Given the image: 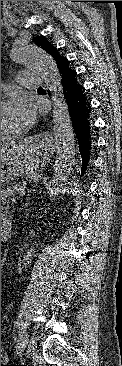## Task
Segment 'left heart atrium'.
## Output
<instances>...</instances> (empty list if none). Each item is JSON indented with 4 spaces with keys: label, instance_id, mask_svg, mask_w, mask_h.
Wrapping results in <instances>:
<instances>
[{
    "label": "left heart atrium",
    "instance_id": "obj_1",
    "mask_svg": "<svg viewBox=\"0 0 122 366\" xmlns=\"http://www.w3.org/2000/svg\"><path fill=\"white\" fill-rule=\"evenodd\" d=\"M18 123V130H24L32 125L35 119V107L26 95L18 93L13 97L10 106Z\"/></svg>",
    "mask_w": 122,
    "mask_h": 366
}]
</instances>
